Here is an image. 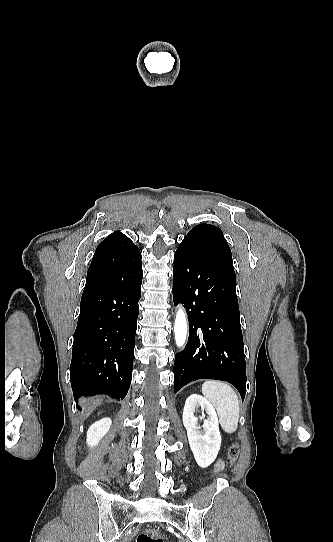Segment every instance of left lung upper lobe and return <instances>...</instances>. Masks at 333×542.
<instances>
[{"instance_id":"left-lung-upper-lobe-1","label":"left lung upper lobe","mask_w":333,"mask_h":542,"mask_svg":"<svg viewBox=\"0 0 333 542\" xmlns=\"http://www.w3.org/2000/svg\"><path fill=\"white\" fill-rule=\"evenodd\" d=\"M181 243L191 246L203 258L233 267L230 247L220 228L202 223L196 225Z\"/></svg>"}]
</instances>
